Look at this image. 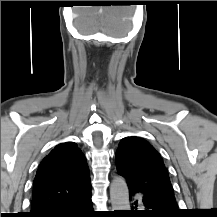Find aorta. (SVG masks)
<instances>
[{
    "label": "aorta",
    "instance_id": "762f6f07",
    "mask_svg": "<svg viewBox=\"0 0 217 217\" xmlns=\"http://www.w3.org/2000/svg\"><path fill=\"white\" fill-rule=\"evenodd\" d=\"M112 210H130L129 191L124 178L115 177L110 185Z\"/></svg>",
    "mask_w": 217,
    "mask_h": 217
}]
</instances>
